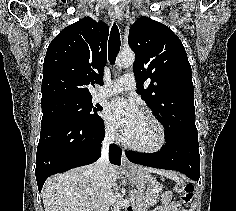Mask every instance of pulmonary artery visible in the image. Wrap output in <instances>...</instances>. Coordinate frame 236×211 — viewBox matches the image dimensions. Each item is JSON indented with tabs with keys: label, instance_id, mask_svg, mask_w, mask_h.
<instances>
[{
	"label": "pulmonary artery",
	"instance_id": "e3ab8cb5",
	"mask_svg": "<svg viewBox=\"0 0 236 211\" xmlns=\"http://www.w3.org/2000/svg\"><path fill=\"white\" fill-rule=\"evenodd\" d=\"M137 82L133 75L125 74L122 77L106 85L99 93V97L111 96L123 91H130L136 88Z\"/></svg>",
	"mask_w": 236,
	"mask_h": 211
}]
</instances>
